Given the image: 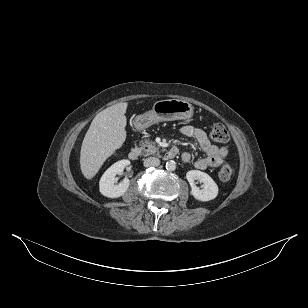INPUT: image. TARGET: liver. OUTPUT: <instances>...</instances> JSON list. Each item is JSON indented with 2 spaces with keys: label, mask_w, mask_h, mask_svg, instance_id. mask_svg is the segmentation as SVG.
<instances>
[{
  "label": "liver",
  "mask_w": 308,
  "mask_h": 308,
  "mask_svg": "<svg viewBox=\"0 0 308 308\" xmlns=\"http://www.w3.org/2000/svg\"><path fill=\"white\" fill-rule=\"evenodd\" d=\"M127 106L126 102L117 103L94 117L80 152V168L86 179H92L105 160L123 145Z\"/></svg>",
  "instance_id": "6515ba94"
}]
</instances>
